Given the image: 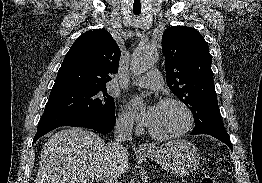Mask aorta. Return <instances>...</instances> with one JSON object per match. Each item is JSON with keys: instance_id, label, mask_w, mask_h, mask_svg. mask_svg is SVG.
<instances>
[{"instance_id": "obj_1", "label": "aorta", "mask_w": 262, "mask_h": 183, "mask_svg": "<svg viewBox=\"0 0 262 183\" xmlns=\"http://www.w3.org/2000/svg\"><path fill=\"white\" fill-rule=\"evenodd\" d=\"M158 59V52L152 47H138L132 56L131 69L136 73H143L150 69Z\"/></svg>"}]
</instances>
